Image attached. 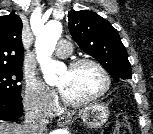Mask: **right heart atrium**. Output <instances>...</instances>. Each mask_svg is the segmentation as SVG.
I'll use <instances>...</instances> for the list:
<instances>
[{
  "label": "right heart atrium",
  "mask_w": 153,
  "mask_h": 134,
  "mask_svg": "<svg viewBox=\"0 0 153 134\" xmlns=\"http://www.w3.org/2000/svg\"><path fill=\"white\" fill-rule=\"evenodd\" d=\"M23 101L27 111L43 117L51 115L57 106L55 93L34 75L26 76Z\"/></svg>",
  "instance_id": "obj_1"
}]
</instances>
